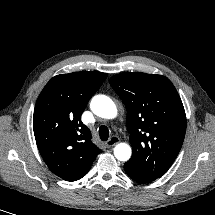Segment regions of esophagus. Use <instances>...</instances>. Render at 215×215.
Here are the masks:
<instances>
[{"label":"esophagus","instance_id":"esophagus-1","mask_svg":"<svg viewBox=\"0 0 215 215\" xmlns=\"http://www.w3.org/2000/svg\"><path fill=\"white\" fill-rule=\"evenodd\" d=\"M120 142V139L117 136H112L107 142H106V146L108 148H111L113 146H115L116 144H118Z\"/></svg>","mask_w":215,"mask_h":215}]
</instances>
